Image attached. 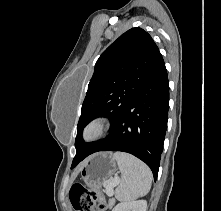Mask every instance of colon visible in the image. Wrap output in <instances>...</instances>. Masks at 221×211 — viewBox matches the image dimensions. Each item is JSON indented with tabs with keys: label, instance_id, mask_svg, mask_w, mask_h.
<instances>
[{
	"label": "colon",
	"instance_id": "1",
	"mask_svg": "<svg viewBox=\"0 0 221 211\" xmlns=\"http://www.w3.org/2000/svg\"><path fill=\"white\" fill-rule=\"evenodd\" d=\"M69 200L75 211H93L95 205L94 193L88 191L82 184L76 183L69 190ZM103 210L104 205L99 204Z\"/></svg>",
	"mask_w": 221,
	"mask_h": 211
}]
</instances>
